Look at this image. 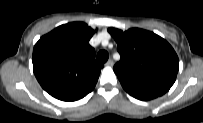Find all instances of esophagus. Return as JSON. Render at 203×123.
Returning <instances> with one entry per match:
<instances>
[{"label": "esophagus", "mask_w": 203, "mask_h": 123, "mask_svg": "<svg viewBox=\"0 0 203 123\" xmlns=\"http://www.w3.org/2000/svg\"><path fill=\"white\" fill-rule=\"evenodd\" d=\"M113 64H114V62H113L112 59H109V60L105 63L106 66H113Z\"/></svg>", "instance_id": "1"}]
</instances>
